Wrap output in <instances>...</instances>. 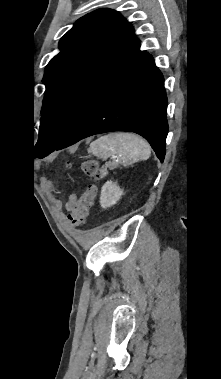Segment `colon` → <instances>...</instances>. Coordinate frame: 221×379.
<instances>
[{
  "mask_svg": "<svg viewBox=\"0 0 221 379\" xmlns=\"http://www.w3.org/2000/svg\"><path fill=\"white\" fill-rule=\"evenodd\" d=\"M81 169L82 172L92 179L93 182L87 185L80 199L76 202L68 216L70 224L76 227H81L85 224L97 195L96 182H98L104 175L103 170L94 160H85L81 165Z\"/></svg>",
  "mask_w": 221,
  "mask_h": 379,
  "instance_id": "obj_1",
  "label": "colon"
}]
</instances>
